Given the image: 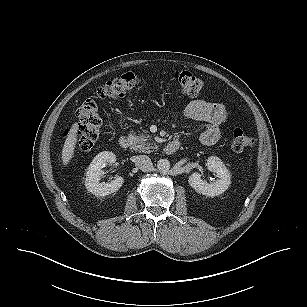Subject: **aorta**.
<instances>
[{"instance_id":"aorta-1","label":"aorta","mask_w":307,"mask_h":307,"mask_svg":"<svg viewBox=\"0 0 307 307\" xmlns=\"http://www.w3.org/2000/svg\"><path fill=\"white\" fill-rule=\"evenodd\" d=\"M157 169L160 172H167L170 169V162L167 159H160L157 162Z\"/></svg>"}]
</instances>
